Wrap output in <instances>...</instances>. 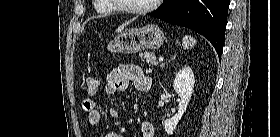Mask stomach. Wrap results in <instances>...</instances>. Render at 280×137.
Listing matches in <instances>:
<instances>
[{
    "instance_id": "1",
    "label": "stomach",
    "mask_w": 280,
    "mask_h": 137,
    "mask_svg": "<svg viewBox=\"0 0 280 137\" xmlns=\"http://www.w3.org/2000/svg\"><path fill=\"white\" fill-rule=\"evenodd\" d=\"M164 39V33L157 25L148 24L121 32L108 43L107 49L112 53H138L144 49L159 48Z\"/></svg>"
}]
</instances>
